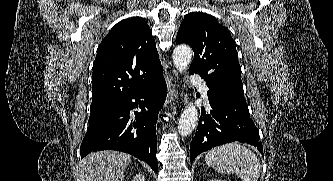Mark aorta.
<instances>
[{
	"mask_svg": "<svg viewBox=\"0 0 333 181\" xmlns=\"http://www.w3.org/2000/svg\"><path fill=\"white\" fill-rule=\"evenodd\" d=\"M173 63L178 71L183 72L187 70L188 65L192 60V49L187 45H179L173 51ZM198 120V111L196 107L190 103L188 104L178 123V132L183 136H187L192 133Z\"/></svg>",
	"mask_w": 333,
	"mask_h": 181,
	"instance_id": "1",
	"label": "aorta"
}]
</instances>
